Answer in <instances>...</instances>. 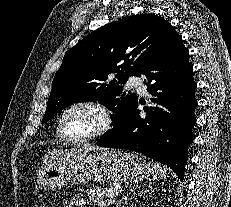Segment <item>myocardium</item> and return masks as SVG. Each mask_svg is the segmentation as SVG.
<instances>
[{
  "label": "myocardium",
  "instance_id": "1",
  "mask_svg": "<svg viewBox=\"0 0 231 207\" xmlns=\"http://www.w3.org/2000/svg\"><path fill=\"white\" fill-rule=\"evenodd\" d=\"M78 106H88L95 109L100 117H101V125L97 130L92 132L91 134L84 137H72L68 134L65 127V119L67 114L74 108ZM113 116L109 108L95 99H81L77 100L70 105H68L61 113L59 118V133L65 141L81 144L85 142H89L95 139H98L108 133L113 127Z\"/></svg>",
  "mask_w": 231,
  "mask_h": 207
}]
</instances>
